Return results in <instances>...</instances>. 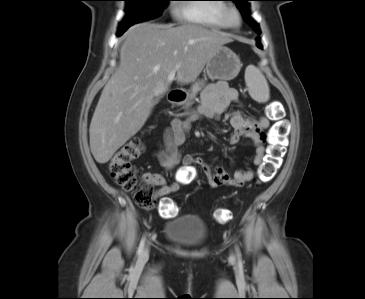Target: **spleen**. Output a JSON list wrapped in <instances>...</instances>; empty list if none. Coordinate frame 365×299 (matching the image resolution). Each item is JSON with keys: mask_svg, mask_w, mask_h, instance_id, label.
<instances>
[{"mask_svg": "<svg viewBox=\"0 0 365 299\" xmlns=\"http://www.w3.org/2000/svg\"><path fill=\"white\" fill-rule=\"evenodd\" d=\"M245 82L252 99L259 103L269 100V86L265 76L254 65H249L245 70Z\"/></svg>", "mask_w": 365, "mask_h": 299, "instance_id": "spleen-1", "label": "spleen"}]
</instances>
